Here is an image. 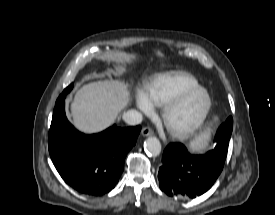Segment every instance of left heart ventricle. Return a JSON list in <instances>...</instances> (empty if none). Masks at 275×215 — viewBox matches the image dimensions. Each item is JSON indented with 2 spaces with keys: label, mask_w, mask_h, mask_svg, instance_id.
Here are the masks:
<instances>
[{
  "label": "left heart ventricle",
  "mask_w": 275,
  "mask_h": 215,
  "mask_svg": "<svg viewBox=\"0 0 275 215\" xmlns=\"http://www.w3.org/2000/svg\"><path fill=\"white\" fill-rule=\"evenodd\" d=\"M205 96L196 93L188 97L171 115V122L177 128L191 126L202 113Z\"/></svg>",
  "instance_id": "left-heart-ventricle-1"
}]
</instances>
